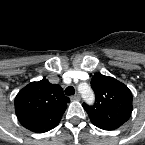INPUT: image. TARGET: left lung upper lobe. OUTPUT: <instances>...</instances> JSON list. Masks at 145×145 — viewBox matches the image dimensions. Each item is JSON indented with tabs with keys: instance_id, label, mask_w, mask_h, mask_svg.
I'll use <instances>...</instances> for the list:
<instances>
[{
	"instance_id": "left-lung-upper-lobe-1",
	"label": "left lung upper lobe",
	"mask_w": 145,
	"mask_h": 145,
	"mask_svg": "<svg viewBox=\"0 0 145 145\" xmlns=\"http://www.w3.org/2000/svg\"><path fill=\"white\" fill-rule=\"evenodd\" d=\"M91 86L96 102L83 104L91 122L103 130H115L122 126L132 113V93L126 85L113 77L95 74Z\"/></svg>"
}]
</instances>
